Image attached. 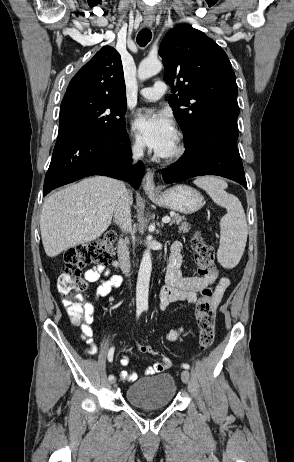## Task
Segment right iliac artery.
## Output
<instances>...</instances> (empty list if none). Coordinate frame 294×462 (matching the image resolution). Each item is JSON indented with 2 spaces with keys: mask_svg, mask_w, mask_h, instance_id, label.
Returning <instances> with one entry per match:
<instances>
[{
  "mask_svg": "<svg viewBox=\"0 0 294 462\" xmlns=\"http://www.w3.org/2000/svg\"><path fill=\"white\" fill-rule=\"evenodd\" d=\"M142 313V309H137V318L141 315ZM113 354H114V348H110L109 352H108V360L109 361H112L113 360ZM114 379V376L113 375H109V380H112Z\"/></svg>",
  "mask_w": 294,
  "mask_h": 462,
  "instance_id": "right-iliac-artery-1",
  "label": "right iliac artery"
}]
</instances>
